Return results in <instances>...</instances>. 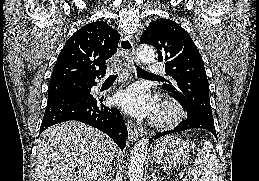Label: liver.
Returning a JSON list of instances; mask_svg holds the SVG:
<instances>
[{"mask_svg":"<svg viewBox=\"0 0 259 181\" xmlns=\"http://www.w3.org/2000/svg\"><path fill=\"white\" fill-rule=\"evenodd\" d=\"M118 151L109 136L89 125L57 124L38 140L39 181H105Z\"/></svg>","mask_w":259,"mask_h":181,"instance_id":"liver-1","label":"liver"}]
</instances>
